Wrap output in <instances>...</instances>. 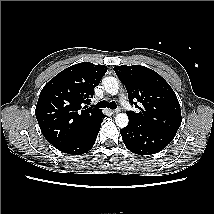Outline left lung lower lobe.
<instances>
[{"label": "left lung lower lobe", "mask_w": 214, "mask_h": 214, "mask_svg": "<svg viewBox=\"0 0 214 214\" xmlns=\"http://www.w3.org/2000/svg\"><path fill=\"white\" fill-rule=\"evenodd\" d=\"M120 133L127 149L139 155L158 153L175 137V135L138 126L130 122L120 130Z\"/></svg>", "instance_id": "1"}]
</instances>
